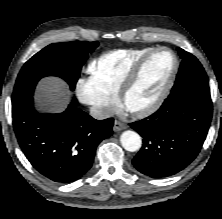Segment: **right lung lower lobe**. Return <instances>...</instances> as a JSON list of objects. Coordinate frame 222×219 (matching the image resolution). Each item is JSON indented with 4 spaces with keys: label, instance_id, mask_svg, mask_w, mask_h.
<instances>
[{
    "label": "right lung lower lobe",
    "instance_id": "right-lung-lower-lobe-1",
    "mask_svg": "<svg viewBox=\"0 0 222 219\" xmlns=\"http://www.w3.org/2000/svg\"><path fill=\"white\" fill-rule=\"evenodd\" d=\"M73 98L60 114H40L33 98L12 104L13 127L26 158L43 176L58 183L81 178L92 166L96 147L112 135L114 120H96Z\"/></svg>",
    "mask_w": 222,
    "mask_h": 219
}]
</instances>
